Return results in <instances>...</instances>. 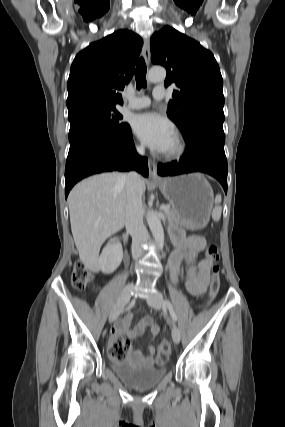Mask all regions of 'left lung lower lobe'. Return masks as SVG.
I'll list each match as a JSON object with an SVG mask.
<instances>
[{"label":"left lung lower lobe","mask_w":285,"mask_h":427,"mask_svg":"<svg viewBox=\"0 0 285 427\" xmlns=\"http://www.w3.org/2000/svg\"><path fill=\"white\" fill-rule=\"evenodd\" d=\"M187 150L178 161L158 164L160 176L204 172L215 177L227 193V159L224 152L225 134L214 128H203L185 140Z\"/></svg>","instance_id":"0a47b994"}]
</instances>
